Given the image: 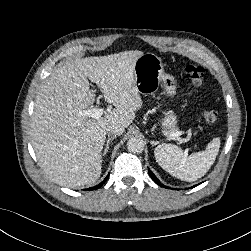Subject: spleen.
Segmentation results:
<instances>
[{"label":"spleen","mask_w":251,"mask_h":251,"mask_svg":"<svg viewBox=\"0 0 251 251\" xmlns=\"http://www.w3.org/2000/svg\"><path fill=\"white\" fill-rule=\"evenodd\" d=\"M220 138H214L204 151L185 157L176 145L162 144L154 151L156 162L172 176L192 182L204 176L218 155Z\"/></svg>","instance_id":"obj_1"}]
</instances>
